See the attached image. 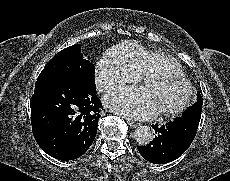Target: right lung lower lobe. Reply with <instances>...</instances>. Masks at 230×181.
Returning a JSON list of instances; mask_svg holds the SVG:
<instances>
[{"instance_id":"1","label":"right lung lower lobe","mask_w":230,"mask_h":181,"mask_svg":"<svg viewBox=\"0 0 230 181\" xmlns=\"http://www.w3.org/2000/svg\"><path fill=\"white\" fill-rule=\"evenodd\" d=\"M30 106L34 138L48 155L73 160L91 146L101 107L96 88L70 81L44 82L35 86Z\"/></svg>"}]
</instances>
